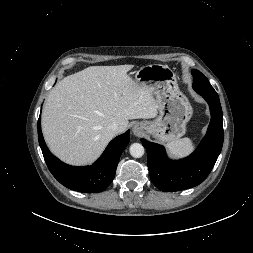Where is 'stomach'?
<instances>
[{
    "label": "stomach",
    "instance_id": "1",
    "mask_svg": "<svg viewBox=\"0 0 253 253\" xmlns=\"http://www.w3.org/2000/svg\"><path fill=\"white\" fill-rule=\"evenodd\" d=\"M135 82L150 90L157 103L158 116L141 122L145 132L161 142L180 139L186 133L192 107L179 90L174 72L165 65H146L136 72Z\"/></svg>",
    "mask_w": 253,
    "mask_h": 253
}]
</instances>
